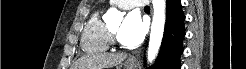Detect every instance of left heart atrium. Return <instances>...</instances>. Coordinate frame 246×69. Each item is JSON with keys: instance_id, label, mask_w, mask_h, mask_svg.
Wrapping results in <instances>:
<instances>
[{"instance_id": "1", "label": "left heart atrium", "mask_w": 246, "mask_h": 69, "mask_svg": "<svg viewBox=\"0 0 246 69\" xmlns=\"http://www.w3.org/2000/svg\"><path fill=\"white\" fill-rule=\"evenodd\" d=\"M145 24L140 14L131 11L127 14L119 31V39L126 46H135L143 40Z\"/></svg>"}]
</instances>
